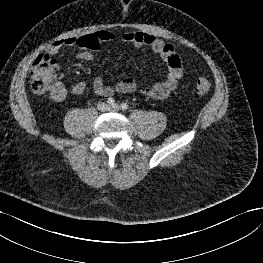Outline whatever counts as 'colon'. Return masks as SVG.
<instances>
[{"label":"colon","mask_w":263,"mask_h":263,"mask_svg":"<svg viewBox=\"0 0 263 263\" xmlns=\"http://www.w3.org/2000/svg\"><path fill=\"white\" fill-rule=\"evenodd\" d=\"M59 66L55 59L48 54L39 55L33 64L30 83L34 92L44 94L51 92L57 84ZM211 82L207 78H199L195 88L199 94H206L211 90Z\"/></svg>","instance_id":"1"}]
</instances>
